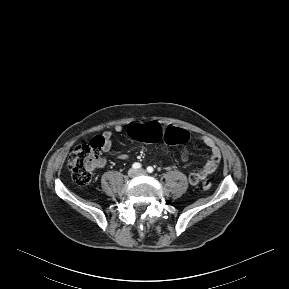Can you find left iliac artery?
<instances>
[{
  "label": "left iliac artery",
  "mask_w": 289,
  "mask_h": 289,
  "mask_svg": "<svg viewBox=\"0 0 289 289\" xmlns=\"http://www.w3.org/2000/svg\"><path fill=\"white\" fill-rule=\"evenodd\" d=\"M153 171H154L153 167H151V166L147 167V172L148 173H152Z\"/></svg>",
  "instance_id": "obj_1"
}]
</instances>
